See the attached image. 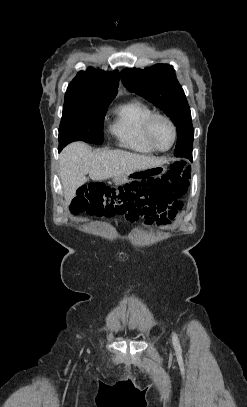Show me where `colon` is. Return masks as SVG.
<instances>
[{
    "instance_id": "obj_1",
    "label": "colon",
    "mask_w": 247,
    "mask_h": 407,
    "mask_svg": "<svg viewBox=\"0 0 247 407\" xmlns=\"http://www.w3.org/2000/svg\"><path fill=\"white\" fill-rule=\"evenodd\" d=\"M190 167L175 162L170 170L157 178L109 187L101 183L81 187L72 200V214L125 216L139 209L147 199L176 202L187 192Z\"/></svg>"
}]
</instances>
